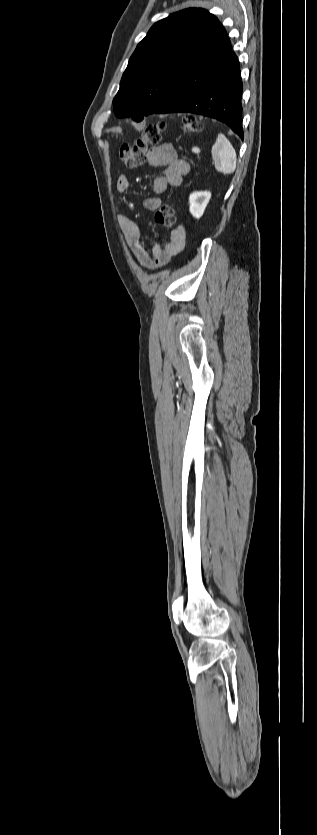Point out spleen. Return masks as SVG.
<instances>
[{
	"label": "spleen",
	"instance_id": "1",
	"mask_svg": "<svg viewBox=\"0 0 317 835\" xmlns=\"http://www.w3.org/2000/svg\"><path fill=\"white\" fill-rule=\"evenodd\" d=\"M211 155L215 169L225 175H230L236 170V152L230 141L222 133H219L216 142L212 146Z\"/></svg>",
	"mask_w": 317,
	"mask_h": 835
}]
</instances>
